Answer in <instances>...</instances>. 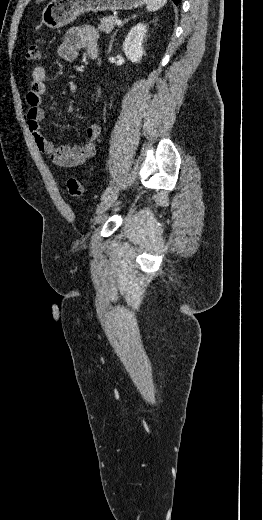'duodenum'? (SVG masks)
<instances>
[{
  "label": "duodenum",
  "instance_id": "obj_1",
  "mask_svg": "<svg viewBox=\"0 0 263 520\" xmlns=\"http://www.w3.org/2000/svg\"><path fill=\"white\" fill-rule=\"evenodd\" d=\"M96 58H97V56H96V55H93V56H92V59H96Z\"/></svg>",
  "mask_w": 263,
  "mask_h": 520
}]
</instances>
